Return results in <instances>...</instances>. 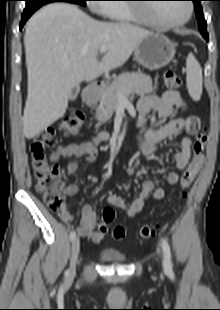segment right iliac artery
<instances>
[{"label": "right iliac artery", "instance_id": "82829eb1", "mask_svg": "<svg viewBox=\"0 0 220 310\" xmlns=\"http://www.w3.org/2000/svg\"><path fill=\"white\" fill-rule=\"evenodd\" d=\"M75 238H76L75 231H71V233H70V240H74Z\"/></svg>", "mask_w": 220, "mask_h": 310}]
</instances>
